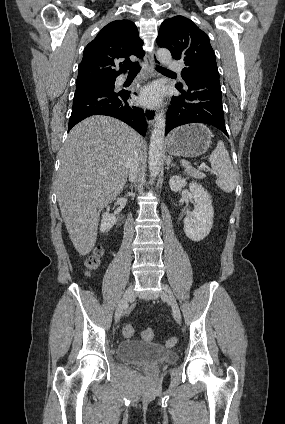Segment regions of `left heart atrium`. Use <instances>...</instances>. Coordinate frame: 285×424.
<instances>
[{
  "mask_svg": "<svg viewBox=\"0 0 285 424\" xmlns=\"http://www.w3.org/2000/svg\"><path fill=\"white\" fill-rule=\"evenodd\" d=\"M162 96V88L157 84H151L141 89L138 99L144 105L155 106L160 103Z\"/></svg>",
  "mask_w": 285,
  "mask_h": 424,
  "instance_id": "1",
  "label": "left heart atrium"
}]
</instances>
